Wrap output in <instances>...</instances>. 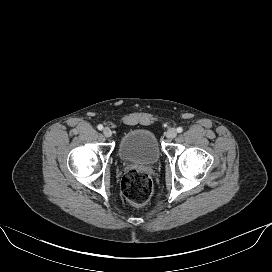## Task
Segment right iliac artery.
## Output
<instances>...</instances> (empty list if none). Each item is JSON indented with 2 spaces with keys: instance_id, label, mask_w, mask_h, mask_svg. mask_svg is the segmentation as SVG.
<instances>
[{
  "instance_id": "1",
  "label": "right iliac artery",
  "mask_w": 272,
  "mask_h": 272,
  "mask_svg": "<svg viewBox=\"0 0 272 272\" xmlns=\"http://www.w3.org/2000/svg\"><path fill=\"white\" fill-rule=\"evenodd\" d=\"M97 128H98L99 130H102V129H103V125L100 124V125L97 126Z\"/></svg>"
}]
</instances>
